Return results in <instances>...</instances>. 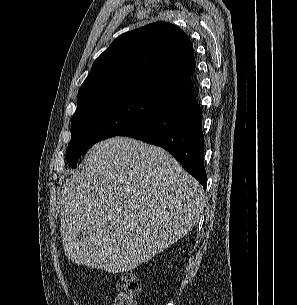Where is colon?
I'll list each match as a JSON object with an SVG mask.
<instances>
[{
    "instance_id": "colon-1",
    "label": "colon",
    "mask_w": 297,
    "mask_h": 305,
    "mask_svg": "<svg viewBox=\"0 0 297 305\" xmlns=\"http://www.w3.org/2000/svg\"><path fill=\"white\" fill-rule=\"evenodd\" d=\"M139 284L131 273L123 274L116 286L112 305H137Z\"/></svg>"
}]
</instances>
